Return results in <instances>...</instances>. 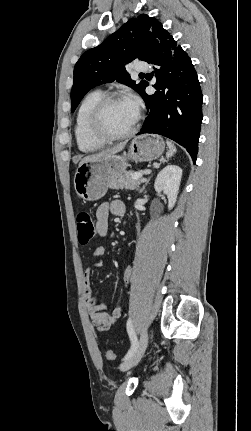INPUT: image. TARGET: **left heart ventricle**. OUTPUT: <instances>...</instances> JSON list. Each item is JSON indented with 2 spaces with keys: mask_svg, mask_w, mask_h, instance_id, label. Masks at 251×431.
Returning <instances> with one entry per match:
<instances>
[{
  "mask_svg": "<svg viewBox=\"0 0 251 431\" xmlns=\"http://www.w3.org/2000/svg\"><path fill=\"white\" fill-rule=\"evenodd\" d=\"M137 111L126 100L108 105L102 116L103 128L111 134H119L130 129L136 119Z\"/></svg>",
  "mask_w": 251,
  "mask_h": 431,
  "instance_id": "b2bd125f",
  "label": "left heart ventricle"
}]
</instances>
